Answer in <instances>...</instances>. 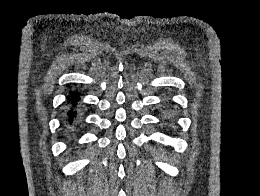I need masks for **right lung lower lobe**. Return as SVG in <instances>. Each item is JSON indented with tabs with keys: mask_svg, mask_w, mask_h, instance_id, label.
Returning <instances> with one entry per match:
<instances>
[{
	"mask_svg": "<svg viewBox=\"0 0 260 196\" xmlns=\"http://www.w3.org/2000/svg\"><path fill=\"white\" fill-rule=\"evenodd\" d=\"M80 100V94L78 92H70L66 102V112L64 116V123L67 128L76 127L79 119L78 102Z\"/></svg>",
	"mask_w": 260,
	"mask_h": 196,
	"instance_id": "right-lung-lower-lobe-1",
	"label": "right lung lower lobe"
}]
</instances>
